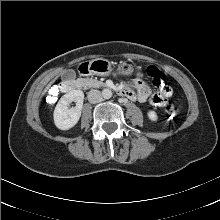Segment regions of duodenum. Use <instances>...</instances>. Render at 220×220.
Returning <instances> with one entry per match:
<instances>
[{
    "mask_svg": "<svg viewBox=\"0 0 220 220\" xmlns=\"http://www.w3.org/2000/svg\"><path fill=\"white\" fill-rule=\"evenodd\" d=\"M75 89V83L73 81H65L61 85V90L63 92H70ZM118 94L120 96L128 97V92L125 89H119Z\"/></svg>",
    "mask_w": 220,
    "mask_h": 220,
    "instance_id": "1",
    "label": "duodenum"
}]
</instances>
